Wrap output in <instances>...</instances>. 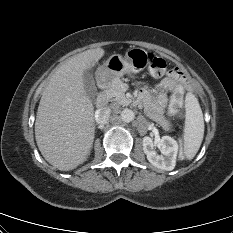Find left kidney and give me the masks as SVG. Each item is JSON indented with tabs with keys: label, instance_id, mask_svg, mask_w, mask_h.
<instances>
[{
	"label": "left kidney",
	"instance_id": "obj_1",
	"mask_svg": "<svg viewBox=\"0 0 233 233\" xmlns=\"http://www.w3.org/2000/svg\"><path fill=\"white\" fill-rule=\"evenodd\" d=\"M160 147L161 155L154 150V146ZM143 150L148 161L155 167L171 171L176 164L178 153V143L169 136H163L158 143L154 142L150 137L143 138Z\"/></svg>",
	"mask_w": 233,
	"mask_h": 233
}]
</instances>
